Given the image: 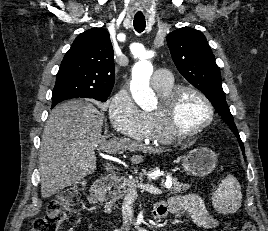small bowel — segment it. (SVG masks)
<instances>
[{"instance_id": "obj_1", "label": "small bowel", "mask_w": 268, "mask_h": 231, "mask_svg": "<svg viewBox=\"0 0 268 231\" xmlns=\"http://www.w3.org/2000/svg\"><path fill=\"white\" fill-rule=\"evenodd\" d=\"M188 213L194 223L204 229L216 226V219L204 201L196 194L173 195L167 201L154 208V215L162 219L168 214Z\"/></svg>"}]
</instances>
